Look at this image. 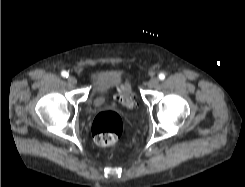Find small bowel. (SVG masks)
Here are the masks:
<instances>
[{
    "mask_svg": "<svg viewBox=\"0 0 245 187\" xmlns=\"http://www.w3.org/2000/svg\"><path fill=\"white\" fill-rule=\"evenodd\" d=\"M93 103L95 107H99L104 103V95L98 84H96V97Z\"/></svg>",
    "mask_w": 245,
    "mask_h": 187,
    "instance_id": "1",
    "label": "small bowel"
}]
</instances>
